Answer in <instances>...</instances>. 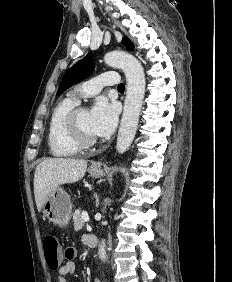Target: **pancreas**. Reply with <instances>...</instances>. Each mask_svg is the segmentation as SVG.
Listing matches in <instances>:
<instances>
[{"label":"pancreas","mask_w":232,"mask_h":282,"mask_svg":"<svg viewBox=\"0 0 232 282\" xmlns=\"http://www.w3.org/2000/svg\"><path fill=\"white\" fill-rule=\"evenodd\" d=\"M73 221H74L73 226L75 230H80L84 226V220L82 219L80 213L73 214Z\"/></svg>","instance_id":"1"}]
</instances>
